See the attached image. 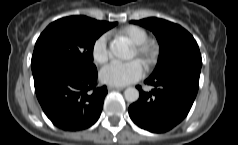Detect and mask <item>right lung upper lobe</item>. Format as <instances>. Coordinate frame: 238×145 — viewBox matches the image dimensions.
I'll list each match as a JSON object with an SVG mask.
<instances>
[{
	"mask_svg": "<svg viewBox=\"0 0 238 145\" xmlns=\"http://www.w3.org/2000/svg\"><path fill=\"white\" fill-rule=\"evenodd\" d=\"M105 23L108 25H114L116 22H114V23L105 22Z\"/></svg>",
	"mask_w": 238,
	"mask_h": 145,
	"instance_id": "right-lung-upper-lobe-1",
	"label": "right lung upper lobe"
}]
</instances>
